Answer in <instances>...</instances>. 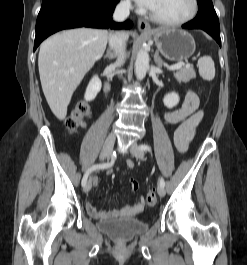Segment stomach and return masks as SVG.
Listing matches in <instances>:
<instances>
[{"label": "stomach", "instance_id": "1", "mask_svg": "<svg viewBox=\"0 0 247 265\" xmlns=\"http://www.w3.org/2000/svg\"><path fill=\"white\" fill-rule=\"evenodd\" d=\"M157 49L168 60L179 62L195 52V41L190 33L176 28L161 27L150 32Z\"/></svg>", "mask_w": 247, "mask_h": 265}]
</instances>
